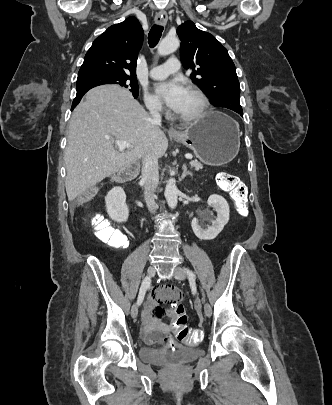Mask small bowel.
Listing matches in <instances>:
<instances>
[{"label": "small bowel", "mask_w": 332, "mask_h": 405, "mask_svg": "<svg viewBox=\"0 0 332 405\" xmlns=\"http://www.w3.org/2000/svg\"><path fill=\"white\" fill-rule=\"evenodd\" d=\"M183 288H164L157 287L152 293L150 299L147 301L144 313V343L145 344H169L170 336L164 335L160 331L163 326L157 324L158 319L161 317L162 311H164L161 306H168V301L170 299H177L179 301V306H181L182 300L181 297L184 296ZM196 307H199V303H196ZM169 310H174L175 308H170ZM173 313V312H171ZM166 312L162 313V320H165ZM168 322V327H169Z\"/></svg>", "instance_id": "small-bowel-1"}]
</instances>
